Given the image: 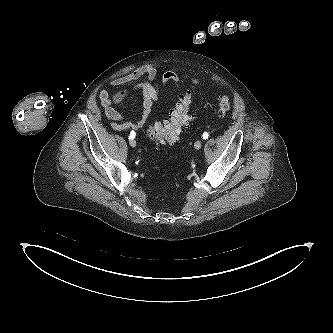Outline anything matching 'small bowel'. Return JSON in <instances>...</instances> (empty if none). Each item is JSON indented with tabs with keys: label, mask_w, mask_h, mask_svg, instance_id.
I'll list each match as a JSON object with an SVG mask.
<instances>
[{
	"label": "small bowel",
	"mask_w": 333,
	"mask_h": 333,
	"mask_svg": "<svg viewBox=\"0 0 333 333\" xmlns=\"http://www.w3.org/2000/svg\"><path fill=\"white\" fill-rule=\"evenodd\" d=\"M157 78V70L152 65H142L132 72L117 77L110 82L112 87L118 88L114 93L102 90L99 93V100L104 109L106 119L110 122L112 129L115 131H124L130 129L132 132L139 130L144 126L150 116L153 103L158 101L159 94L154 87L153 82ZM180 77L172 72L167 71L163 74V82L173 81L178 84ZM194 84L200 85L202 81L196 77L192 78ZM133 84V90H140L143 95L142 114L139 120H126L116 109L115 105L121 103L129 93V89L124 88L126 85Z\"/></svg>",
	"instance_id": "1"
}]
</instances>
